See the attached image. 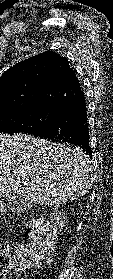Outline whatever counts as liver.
Instances as JSON below:
<instances>
[{
  "label": "liver",
  "instance_id": "6515ba94",
  "mask_svg": "<svg viewBox=\"0 0 113 279\" xmlns=\"http://www.w3.org/2000/svg\"><path fill=\"white\" fill-rule=\"evenodd\" d=\"M92 161L70 148L27 134H0V198L16 197L22 207H58L92 187Z\"/></svg>",
  "mask_w": 113,
  "mask_h": 279
}]
</instances>
